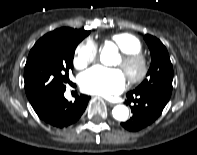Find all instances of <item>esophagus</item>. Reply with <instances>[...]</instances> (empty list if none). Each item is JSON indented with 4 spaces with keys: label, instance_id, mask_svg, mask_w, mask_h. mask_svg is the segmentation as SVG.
Listing matches in <instances>:
<instances>
[{
    "label": "esophagus",
    "instance_id": "1",
    "mask_svg": "<svg viewBox=\"0 0 197 155\" xmlns=\"http://www.w3.org/2000/svg\"><path fill=\"white\" fill-rule=\"evenodd\" d=\"M107 103H108V105H110V106H114V105H115V103H113V102H111V101H107Z\"/></svg>",
    "mask_w": 197,
    "mask_h": 155
}]
</instances>
